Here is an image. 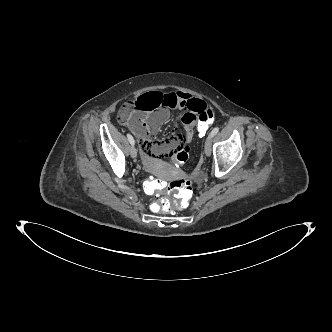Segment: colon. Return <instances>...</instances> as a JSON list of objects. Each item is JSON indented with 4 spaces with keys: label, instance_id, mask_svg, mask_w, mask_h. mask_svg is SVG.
Listing matches in <instances>:
<instances>
[{
    "label": "colon",
    "instance_id": "obj_1",
    "mask_svg": "<svg viewBox=\"0 0 332 332\" xmlns=\"http://www.w3.org/2000/svg\"><path fill=\"white\" fill-rule=\"evenodd\" d=\"M139 95L140 93L138 96ZM131 107H134V103ZM214 118L215 113L211 108L205 109L198 115V122L195 129V135L197 138L204 139L207 137L210 123ZM193 154V147L190 145H184L179 151L167 155L165 163L170 168H176L182 164L190 163ZM144 188L145 191L151 195L157 194L158 192L162 195H169L170 193L173 195L172 198H154L150 204L151 210L154 213L160 214L163 212H169L173 209L187 211L193 207V186L192 182L188 179L164 181L151 178L145 182Z\"/></svg>",
    "mask_w": 332,
    "mask_h": 332
}]
</instances>
